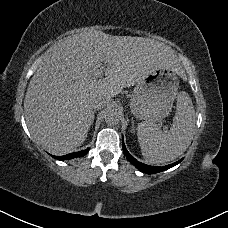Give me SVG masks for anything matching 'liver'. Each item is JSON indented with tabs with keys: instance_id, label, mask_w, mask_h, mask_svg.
Segmentation results:
<instances>
[{
	"instance_id": "1",
	"label": "liver",
	"mask_w": 228,
	"mask_h": 228,
	"mask_svg": "<svg viewBox=\"0 0 228 228\" xmlns=\"http://www.w3.org/2000/svg\"><path fill=\"white\" fill-rule=\"evenodd\" d=\"M105 63L106 77L96 73ZM181 74L172 48L150 38L83 32L57 43L32 76L24 99L26 124L33 141L52 154L81 146L94 120L91 95L110 102L151 71Z\"/></svg>"
}]
</instances>
